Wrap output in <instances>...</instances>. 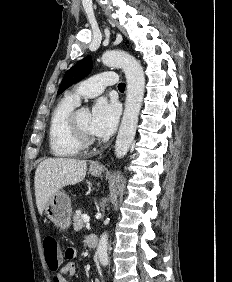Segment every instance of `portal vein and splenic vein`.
<instances>
[{
  "instance_id": "1",
  "label": "portal vein and splenic vein",
  "mask_w": 232,
  "mask_h": 282,
  "mask_svg": "<svg viewBox=\"0 0 232 282\" xmlns=\"http://www.w3.org/2000/svg\"><path fill=\"white\" fill-rule=\"evenodd\" d=\"M82 217H83V221H84L85 223H89L90 217H89L87 214H83Z\"/></svg>"
}]
</instances>
